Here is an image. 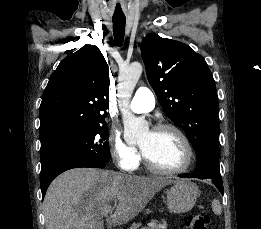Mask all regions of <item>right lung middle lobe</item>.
<instances>
[{"label":"right lung middle lobe","instance_id":"1","mask_svg":"<svg viewBox=\"0 0 261 229\" xmlns=\"http://www.w3.org/2000/svg\"><path fill=\"white\" fill-rule=\"evenodd\" d=\"M107 138L106 124H96L74 139L40 150L41 170L85 161L106 163L110 160Z\"/></svg>","mask_w":261,"mask_h":229}]
</instances>
